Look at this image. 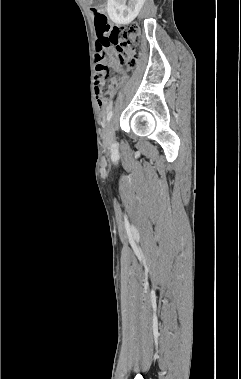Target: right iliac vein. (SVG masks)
I'll list each match as a JSON object with an SVG mask.
<instances>
[{
    "label": "right iliac vein",
    "mask_w": 241,
    "mask_h": 379,
    "mask_svg": "<svg viewBox=\"0 0 241 379\" xmlns=\"http://www.w3.org/2000/svg\"><path fill=\"white\" fill-rule=\"evenodd\" d=\"M106 141L108 144H112L114 142V134L111 126L107 130Z\"/></svg>",
    "instance_id": "1"
}]
</instances>
